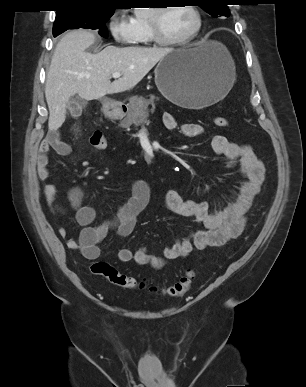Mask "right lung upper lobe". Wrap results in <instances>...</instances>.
<instances>
[{"label": "right lung upper lobe", "mask_w": 306, "mask_h": 387, "mask_svg": "<svg viewBox=\"0 0 306 387\" xmlns=\"http://www.w3.org/2000/svg\"><path fill=\"white\" fill-rule=\"evenodd\" d=\"M60 8L57 13L68 10H115L116 0H60Z\"/></svg>", "instance_id": "right-lung-upper-lobe-1"}]
</instances>
